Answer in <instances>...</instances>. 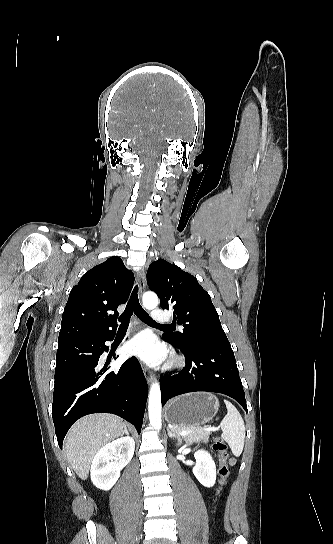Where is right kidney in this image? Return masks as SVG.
I'll list each match as a JSON object with an SVG mask.
<instances>
[{"instance_id": "ca27d5eb", "label": "right kidney", "mask_w": 333, "mask_h": 544, "mask_svg": "<svg viewBox=\"0 0 333 544\" xmlns=\"http://www.w3.org/2000/svg\"><path fill=\"white\" fill-rule=\"evenodd\" d=\"M135 450L134 439L121 437L103 446L95 455L90 475L93 484L104 491L117 482L120 471L131 461Z\"/></svg>"}]
</instances>
